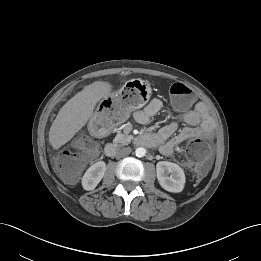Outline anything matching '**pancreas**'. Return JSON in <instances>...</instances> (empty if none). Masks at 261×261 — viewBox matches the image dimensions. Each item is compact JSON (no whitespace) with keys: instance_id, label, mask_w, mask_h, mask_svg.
I'll return each instance as SVG.
<instances>
[{"instance_id":"1","label":"pancreas","mask_w":261,"mask_h":261,"mask_svg":"<svg viewBox=\"0 0 261 261\" xmlns=\"http://www.w3.org/2000/svg\"><path fill=\"white\" fill-rule=\"evenodd\" d=\"M132 140V136L128 135L127 133H118L115 138L114 142L119 143L121 145H127Z\"/></svg>"}]
</instances>
